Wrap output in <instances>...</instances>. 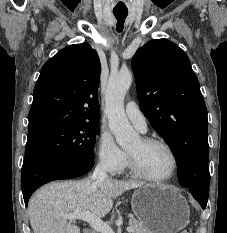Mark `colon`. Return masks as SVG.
Listing matches in <instances>:
<instances>
[{"instance_id": "obj_1", "label": "colon", "mask_w": 227, "mask_h": 233, "mask_svg": "<svg viewBox=\"0 0 227 233\" xmlns=\"http://www.w3.org/2000/svg\"><path fill=\"white\" fill-rule=\"evenodd\" d=\"M179 233H192V231L189 228H184Z\"/></svg>"}]
</instances>
